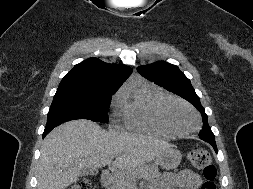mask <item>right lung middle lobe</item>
Here are the masks:
<instances>
[{
    "label": "right lung middle lobe",
    "instance_id": "right-lung-middle-lobe-1",
    "mask_svg": "<svg viewBox=\"0 0 253 189\" xmlns=\"http://www.w3.org/2000/svg\"><path fill=\"white\" fill-rule=\"evenodd\" d=\"M116 89H57L48 112L47 125L76 119L106 123L112 95Z\"/></svg>",
    "mask_w": 253,
    "mask_h": 189
}]
</instances>
